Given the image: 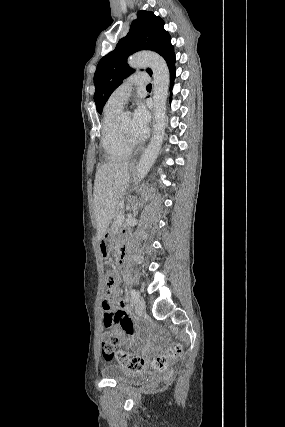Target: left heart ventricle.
<instances>
[{
	"instance_id": "1",
	"label": "left heart ventricle",
	"mask_w": 285,
	"mask_h": 427,
	"mask_svg": "<svg viewBox=\"0 0 285 427\" xmlns=\"http://www.w3.org/2000/svg\"><path fill=\"white\" fill-rule=\"evenodd\" d=\"M121 123L126 131V133L135 140V136L133 134V124H132V117L129 114H125L121 117Z\"/></svg>"
}]
</instances>
